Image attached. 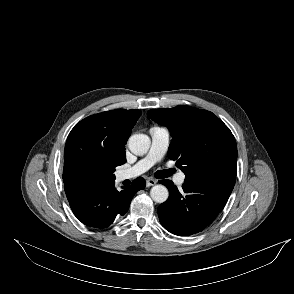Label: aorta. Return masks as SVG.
Masks as SVG:
<instances>
[{
    "instance_id": "762f6f07",
    "label": "aorta",
    "mask_w": 294,
    "mask_h": 294,
    "mask_svg": "<svg viewBox=\"0 0 294 294\" xmlns=\"http://www.w3.org/2000/svg\"><path fill=\"white\" fill-rule=\"evenodd\" d=\"M150 138L145 134H134L129 138L128 145L132 153L145 154L150 148ZM150 196L156 203H163L168 199L169 192L164 185H155L150 190Z\"/></svg>"
}]
</instances>
